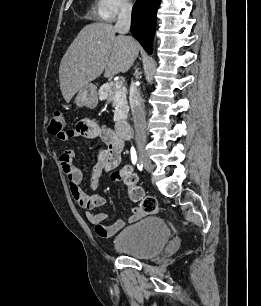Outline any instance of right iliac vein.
Instances as JSON below:
<instances>
[{"label": "right iliac vein", "instance_id": "obj_1", "mask_svg": "<svg viewBox=\"0 0 261 306\" xmlns=\"http://www.w3.org/2000/svg\"><path fill=\"white\" fill-rule=\"evenodd\" d=\"M137 149H138V155H139V159L141 163L144 165L145 169L148 172H151L153 169V166L145 150V143L143 140L137 141Z\"/></svg>", "mask_w": 261, "mask_h": 306}]
</instances>
